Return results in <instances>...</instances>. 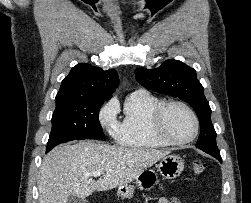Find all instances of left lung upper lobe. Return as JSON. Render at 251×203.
Returning a JSON list of instances; mask_svg holds the SVG:
<instances>
[{
  "mask_svg": "<svg viewBox=\"0 0 251 203\" xmlns=\"http://www.w3.org/2000/svg\"><path fill=\"white\" fill-rule=\"evenodd\" d=\"M135 77L147 89L178 97L190 104L200 122L196 147L210 155H220L216 145V132L211 122V109L195 69L181 61L169 59L155 69H136Z\"/></svg>",
  "mask_w": 251,
  "mask_h": 203,
  "instance_id": "left-lung-upper-lobe-1",
  "label": "left lung upper lobe"
}]
</instances>
